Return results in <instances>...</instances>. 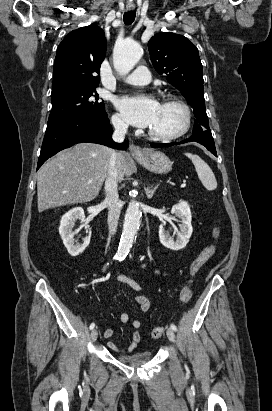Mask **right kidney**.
<instances>
[{
    "mask_svg": "<svg viewBox=\"0 0 272 411\" xmlns=\"http://www.w3.org/2000/svg\"><path fill=\"white\" fill-rule=\"evenodd\" d=\"M84 218V210L81 207H75L69 210L61 218L59 233L64 246L71 256H78L81 254L90 243L91 232H89V236L85 238L82 244H75L74 232H72L75 221L81 220L83 222ZM87 227L88 226H86V228Z\"/></svg>",
    "mask_w": 272,
    "mask_h": 411,
    "instance_id": "ca27d5eb",
    "label": "right kidney"
}]
</instances>
